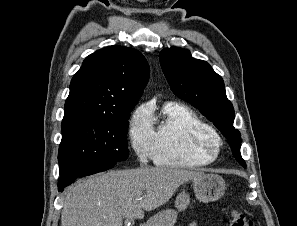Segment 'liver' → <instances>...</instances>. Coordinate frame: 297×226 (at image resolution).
I'll return each mask as SVG.
<instances>
[{"label":"liver","mask_w":297,"mask_h":226,"mask_svg":"<svg viewBox=\"0 0 297 226\" xmlns=\"http://www.w3.org/2000/svg\"><path fill=\"white\" fill-rule=\"evenodd\" d=\"M201 171L168 167L109 171L78 181L67 191L61 226H123V218L143 219L144 211L165 204Z\"/></svg>","instance_id":"6515ba94"}]
</instances>
